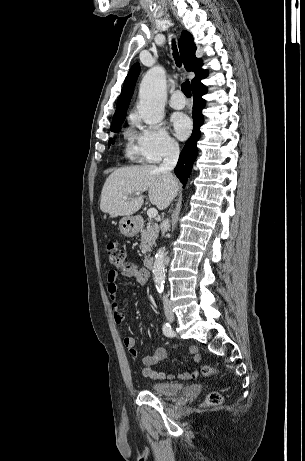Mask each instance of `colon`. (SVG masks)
<instances>
[{"instance_id":"colon-1","label":"colon","mask_w":305,"mask_h":461,"mask_svg":"<svg viewBox=\"0 0 305 461\" xmlns=\"http://www.w3.org/2000/svg\"><path fill=\"white\" fill-rule=\"evenodd\" d=\"M106 254L110 265L115 271H123L127 267L126 252L116 243H108ZM217 370L211 366H203L198 372L192 374L193 378L199 376L208 377L215 375ZM222 402V396L218 392H211L204 401L205 406H218Z\"/></svg>"}]
</instances>
